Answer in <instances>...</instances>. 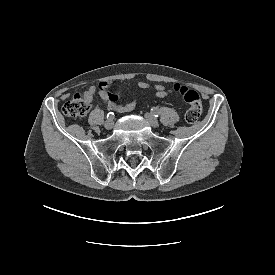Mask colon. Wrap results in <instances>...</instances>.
Masks as SVG:
<instances>
[{"instance_id": "5ec220e1", "label": "colon", "mask_w": 275, "mask_h": 275, "mask_svg": "<svg viewBox=\"0 0 275 275\" xmlns=\"http://www.w3.org/2000/svg\"><path fill=\"white\" fill-rule=\"evenodd\" d=\"M173 90L178 93L185 101L187 108L185 120L188 123L197 121L202 113V103L199 94L191 88L176 83ZM91 100L81 94H75L71 99L66 101L62 107L63 113L73 119H81L89 111Z\"/></svg>"}]
</instances>
